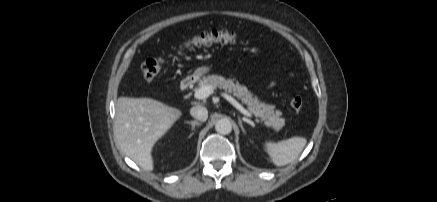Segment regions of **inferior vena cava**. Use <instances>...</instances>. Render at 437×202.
Wrapping results in <instances>:
<instances>
[{"label": "inferior vena cava", "instance_id": "obj_1", "mask_svg": "<svg viewBox=\"0 0 437 202\" xmlns=\"http://www.w3.org/2000/svg\"><path fill=\"white\" fill-rule=\"evenodd\" d=\"M190 114L197 120L206 121L208 118V110L202 105L194 106L190 109Z\"/></svg>", "mask_w": 437, "mask_h": 202}]
</instances>
